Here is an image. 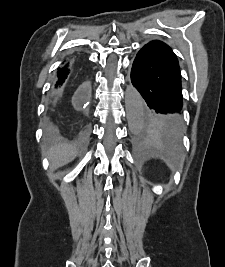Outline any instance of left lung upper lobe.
I'll return each instance as SVG.
<instances>
[{
    "label": "left lung upper lobe",
    "instance_id": "5c2ea615",
    "mask_svg": "<svg viewBox=\"0 0 225 267\" xmlns=\"http://www.w3.org/2000/svg\"><path fill=\"white\" fill-rule=\"evenodd\" d=\"M181 120V126H182ZM142 127L149 133H157L170 139H178L180 135L161 116H157L150 109L144 107Z\"/></svg>",
    "mask_w": 225,
    "mask_h": 267
}]
</instances>
